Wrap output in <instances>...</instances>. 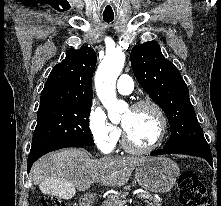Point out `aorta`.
I'll use <instances>...</instances> for the list:
<instances>
[{"label":"aorta","mask_w":221,"mask_h":206,"mask_svg":"<svg viewBox=\"0 0 221 206\" xmlns=\"http://www.w3.org/2000/svg\"><path fill=\"white\" fill-rule=\"evenodd\" d=\"M125 63V55L121 51L107 53L99 65L95 75L97 95L107 109L111 121L120 119L121 112L127 108L116 96V81Z\"/></svg>","instance_id":"762f6f07"}]
</instances>
